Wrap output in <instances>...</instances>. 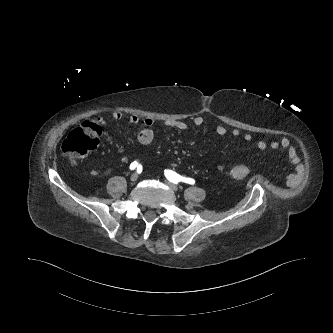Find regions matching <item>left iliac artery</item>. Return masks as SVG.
I'll return each mask as SVG.
<instances>
[{
    "mask_svg": "<svg viewBox=\"0 0 333 333\" xmlns=\"http://www.w3.org/2000/svg\"><path fill=\"white\" fill-rule=\"evenodd\" d=\"M165 176L170 182L174 184H178L179 182H185L191 185L195 184L194 179L183 177L172 170H165Z\"/></svg>",
    "mask_w": 333,
    "mask_h": 333,
    "instance_id": "44dca946",
    "label": "left iliac artery"
}]
</instances>
